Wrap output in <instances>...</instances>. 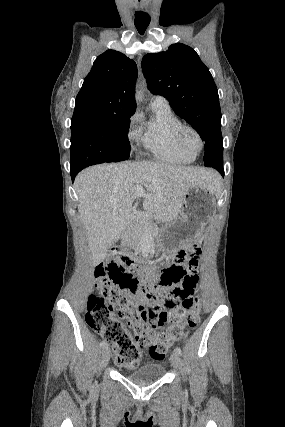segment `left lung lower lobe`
<instances>
[{"label": "left lung lower lobe", "mask_w": 285, "mask_h": 427, "mask_svg": "<svg viewBox=\"0 0 285 427\" xmlns=\"http://www.w3.org/2000/svg\"><path fill=\"white\" fill-rule=\"evenodd\" d=\"M215 169L220 172L222 176H224V169H223V161H220L215 165Z\"/></svg>", "instance_id": "0a47b994"}]
</instances>
